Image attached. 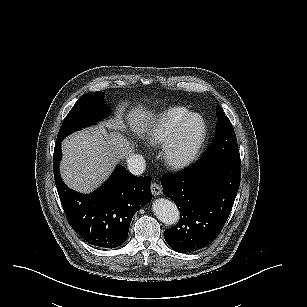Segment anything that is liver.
<instances>
[{"mask_svg":"<svg viewBox=\"0 0 307 307\" xmlns=\"http://www.w3.org/2000/svg\"><path fill=\"white\" fill-rule=\"evenodd\" d=\"M124 100L116 105L120 112L129 105ZM162 113L137 102L124 111V123L105 128L101 122L67 135L61 141L62 158L59 172L71 190L90 195L104 185L118 164L126 162L138 149L136 141L154 131Z\"/></svg>","mask_w":307,"mask_h":307,"instance_id":"6515ba94","label":"liver"}]
</instances>
